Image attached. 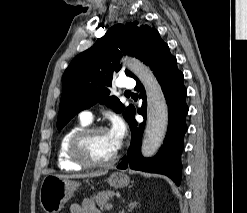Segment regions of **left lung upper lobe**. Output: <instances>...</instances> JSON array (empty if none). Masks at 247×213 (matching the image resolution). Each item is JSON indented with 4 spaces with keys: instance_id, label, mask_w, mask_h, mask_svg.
<instances>
[{
    "instance_id": "left-lung-upper-lobe-1",
    "label": "left lung upper lobe",
    "mask_w": 247,
    "mask_h": 213,
    "mask_svg": "<svg viewBox=\"0 0 247 213\" xmlns=\"http://www.w3.org/2000/svg\"><path fill=\"white\" fill-rule=\"evenodd\" d=\"M133 55L154 66L168 58L171 53L157 30L148 25L138 26V22L117 24L90 49L77 55L62 77V96L57 128L61 130L71 118L83 109L100 102L123 113L130 122L134 107L126 109L115 96H110L109 87L116 72L121 69L118 59L122 55ZM127 76L136 77L128 70Z\"/></svg>"
}]
</instances>
